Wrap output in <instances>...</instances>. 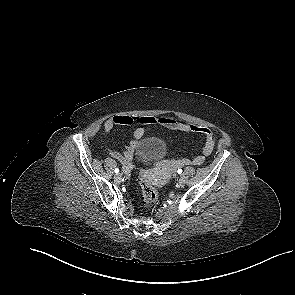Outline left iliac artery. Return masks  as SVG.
<instances>
[{
	"mask_svg": "<svg viewBox=\"0 0 295 295\" xmlns=\"http://www.w3.org/2000/svg\"><path fill=\"white\" fill-rule=\"evenodd\" d=\"M178 174H181L182 173V169H178Z\"/></svg>",
	"mask_w": 295,
	"mask_h": 295,
	"instance_id": "left-iliac-artery-1",
	"label": "left iliac artery"
}]
</instances>
